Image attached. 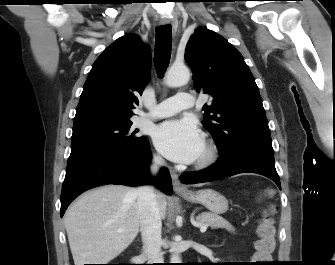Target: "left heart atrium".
Wrapping results in <instances>:
<instances>
[{
    "mask_svg": "<svg viewBox=\"0 0 335 265\" xmlns=\"http://www.w3.org/2000/svg\"><path fill=\"white\" fill-rule=\"evenodd\" d=\"M153 141L164 156L181 163L197 160L204 148L201 131L189 119L161 123L154 130Z\"/></svg>",
    "mask_w": 335,
    "mask_h": 265,
    "instance_id": "39dd6f15",
    "label": "left heart atrium"
}]
</instances>
